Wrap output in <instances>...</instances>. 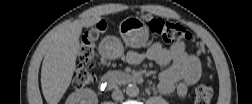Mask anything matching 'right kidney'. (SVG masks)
Wrapping results in <instances>:
<instances>
[{"mask_svg": "<svg viewBox=\"0 0 252 104\" xmlns=\"http://www.w3.org/2000/svg\"><path fill=\"white\" fill-rule=\"evenodd\" d=\"M68 104H96L98 102L96 94L90 89H80L71 93L66 101Z\"/></svg>", "mask_w": 252, "mask_h": 104, "instance_id": "right-kidney-1", "label": "right kidney"}]
</instances>
